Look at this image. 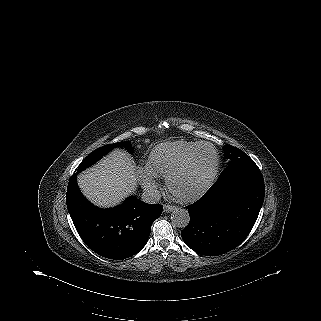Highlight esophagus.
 Returning <instances> with one entry per match:
<instances>
[{
    "instance_id": "obj_1",
    "label": "esophagus",
    "mask_w": 321,
    "mask_h": 321,
    "mask_svg": "<svg viewBox=\"0 0 321 321\" xmlns=\"http://www.w3.org/2000/svg\"><path fill=\"white\" fill-rule=\"evenodd\" d=\"M175 209H176V206H174V205H169V204L164 205V212H166V213H170Z\"/></svg>"
}]
</instances>
